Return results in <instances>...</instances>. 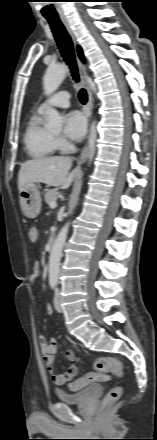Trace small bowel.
<instances>
[{
  "instance_id": "small-bowel-1",
  "label": "small bowel",
  "mask_w": 157,
  "mask_h": 440,
  "mask_svg": "<svg viewBox=\"0 0 157 440\" xmlns=\"http://www.w3.org/2000/svg\"><path fill=\"white\" fill-rule=\"evenodd\" d=\"M39 272H40L39 264L36 263L34 265L33 272L31 275L32 282H35L37 280ZM46 312L48 315L52 314V307L50 305L46 306ZM39 344L43 355L44 364L51 375L52 381L56 385H63L71 381L77 375L78 368L74 363H71L64 373L58 374L55 372L54 355L56 353V347H57V341L55 338L48 341L44 335H40ZM65 356L71 362L75 360V353L71 349L66 350Z\"/></svg>"
}]
</instances>
